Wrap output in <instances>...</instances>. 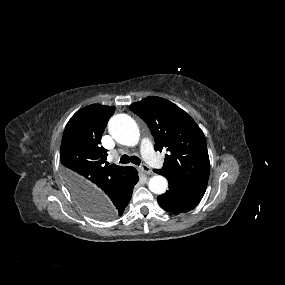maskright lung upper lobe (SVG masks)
I'll list each match as a JSON object with an SVG mask.
<instances>
[{
    "label": "right lung upper lobe",
    "instance_id": "right-lung-upper-lobe-1",
    "mask_svg": "<svg viewBox=\"0 0 285 285\" xmlns=\"http://www.w3.org/2000/svg\"><path fill=\"white\" fill-rule=\"evenodd\" d=\"M114 111L113 106L93 104L76 112L65 127L60 149L63 173L82 205L119 183L132 168L104 164L107 150L100 145L101 137Z\"/></svg>",
    "mask_w": 285,
    "mask_h": 285
}]
</instances>
